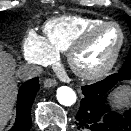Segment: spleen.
Returning a JSON list of instances; mask_svg holds the SVG:
<instances>
[{"instance_id":"obj_1","label":"spleen","mask_w":131,"mask_h":131,"mask_svg":"<svg viewBox=\"0 0 131 131\" xmlns=\"http://www.w3.org/2000/svg\"><path fill=\"white\" fill-rule=\"evenodd\" d=\"M131 91L128 87L121 86L113 91L108 99L115 106H125L129 103Z\"/></svg>"}]
</instances>
